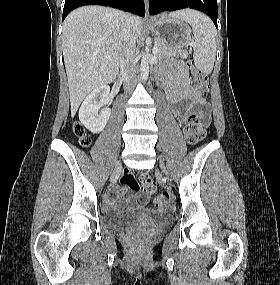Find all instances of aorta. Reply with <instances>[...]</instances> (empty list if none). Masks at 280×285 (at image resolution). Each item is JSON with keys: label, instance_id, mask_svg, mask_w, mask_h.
Wrapping results in <instances>:
<instances>
[{"label": "aorta", "instance_id": "1", "mask_svg": "<svg viewBox=\"0 0 280 285\" xmlns=\"http://www.w3.org/2000/svg\"><path fill=\"white\" fill-rule=\"evenodd\" d=\"M140 72L142 80H147L149 75V59L146 55L142 57Z\"/></svg>", "mask_w": 280, "mask_h": 285}]
</instances>
